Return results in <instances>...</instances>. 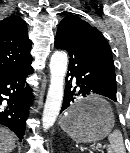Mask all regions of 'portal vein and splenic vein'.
<instances>
[{
	"mask_svg": "<svg viewBox=\"0 0 130 153\" xmlns=\"http://www.w3.org/2000/svg\"><path fill=\"white\" fill-rule=\"evenodd\" d=\"M98 148H100V149H101V148H103V147H102V145H101V144H99V145H98Z\"/></svg>",
	"mask_w": 130,
	"mask_h": 153,
	"instance_id": "obj_1",
	"label": "portal vein and splenic vein"
}]
</instances>
